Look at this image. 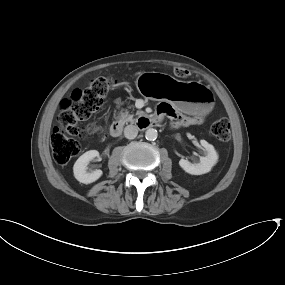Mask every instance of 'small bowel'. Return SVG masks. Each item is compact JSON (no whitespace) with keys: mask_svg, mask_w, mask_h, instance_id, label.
<instances>
[{"mask_svg":"<svg viewBox=\"0 0 285 285\" xmlns=\"http://www.w3.org/2000/svg\"><path fill=\"white\" fill-rule=\"evenodd\" d=\"M156 115L158 120H162L165 117H172L173 119V124L174 125H192L197 122V118L194 117H186V116H181L178 117V115H174L173 108L170 105H164L160 104L156 108Z\"/></svg>","mask_w":285,"mask_h":285,"instance_id":"c3829d8e","label":"small bowel"}]
</instances>
